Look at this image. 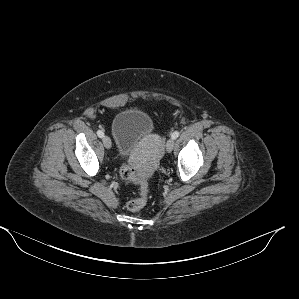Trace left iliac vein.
<instances>
[{
    "mask_svg": "<svg viewBox=\"0 0 299 299\" xmlns=\"http://www.w3.org/2000/svg\"><path fill=\"white\" fill-rule=\"evenodd\" d=\"M174 148V139L170 138L166 143V150L167 152H171Z\"/></svg>",
    "mask_w": 299,
    "mask_h": 299,
    "instance_id": "obj_1",
    "label": "left iliac vein"
}]
</instances>
